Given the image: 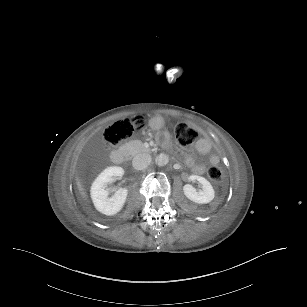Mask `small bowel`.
I'll list each match as a JSON object with an SVG mask.
<instances>
[{"mask_svg":"<svg viewBox=\"0 0 307 307\" xmlns=\"http://www.w3.org/2000/svg\"><path fill=\"white\" fill-rule=\"evenodd\" d=\"M211 148L212 143L209 138H200L195 145V151L200 155L207 156V161L196 162L193 156H189L186 160V165L198 175L205 173L208 165H217L220 161L219 155L211 153Z\"/></svg>","mask_w":307,"mask_h":307,"instance_id":"c3829d8e","label":"small bowel"}]
</instances>
